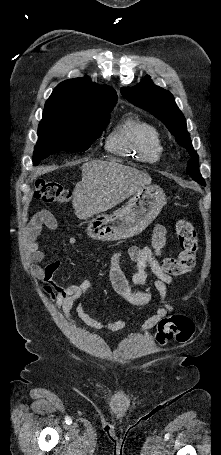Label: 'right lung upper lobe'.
<instances>
[{"instance_id": "obj_1", "label": "right lung upper lobe", "mask_w": 221, "mask_h": 455, "mask_svg": "<svg viewBox=\"0 0 221 455\" xmlns=\"http://www.w3.org/2000/svg\"><path fill=\"white\" fill-rule=\"evenodd\" d=\"M117 102L115 90L100 86L88 77L74 78L56 86L47 100L43 114L65 118H86L113 109Z\"/></svg>"}]
</instances>
